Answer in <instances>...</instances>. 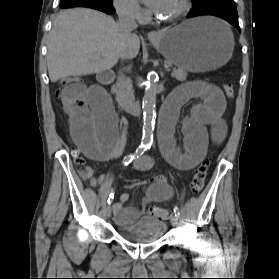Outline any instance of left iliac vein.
<instances>
[{
  "label": "left iliac vein",
  "instance_id": "obj_1",
  "mask_svg": "<svg viewBox=\"0 0 279 279\" xmlns=\"http://www.w3.org/2000/svg\"><path fill=\"white\" fill-rule=\"evenodd\" d=\"M171 224L176 227L178 225V218L173 215L172 218H171Z\"/></svg>",
  "mask_w": 279,
  "mask_h": 279
}]
</instances>
